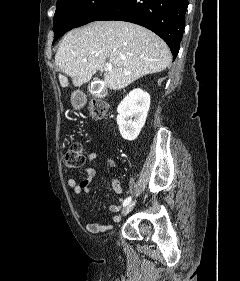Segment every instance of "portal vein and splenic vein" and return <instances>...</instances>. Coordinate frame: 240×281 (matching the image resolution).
Returning a JSON list of instances; mask_svg holds the SVG:
<instances>
[{
	"mask_svg": "<svg viewBox=\"0 0 240 281\" xmlns=\"http://www.w3.org/2000/svg\"><path fill=\"white\" fill-rule=\"evenodd\" d=\"M84 61H86V60H84ZM112 69H113V66H112L111 63H109V64L106 65V70H107V71H112Z\"/></svg>",
	"mask_w": 240,
	"mask_h": 281,
	"instance_id": "1",
	"label": "portal vein and splenic vein"
}]
</instances>
